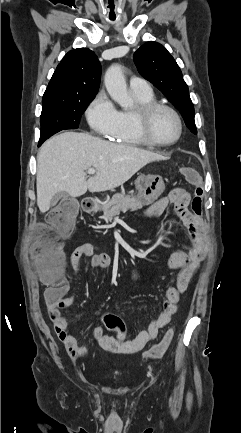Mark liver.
Instances as JSON below:
<instances>
[{"mask_svg":"<svg viewBox=\"0 0 241 433\" xmlns=\"http://www.w3.org/2000/svg\"><path fill=\"white\" fill-rule=\"evenodd\" d=\"M159 154L128 145L114 144L88 133L65 132L48 139L37 155V205L42 213L52 197L64 191L79 197L89 190H112L128 181ZM96 174L86 179V171Z\"/></svg>","mask_w":241,"mask_h":433,"instance_id":"obj_1","label":"liver"}]
</instances>
